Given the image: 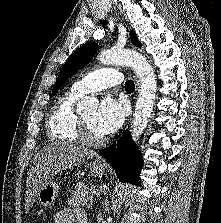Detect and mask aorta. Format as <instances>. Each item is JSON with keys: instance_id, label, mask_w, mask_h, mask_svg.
I'll return each instance as SVG.
<instances>
[{"instance_id": "obj_1", "label": "aorta", "mask_w": 221, "mask_h": 223, "mask_svg": "<svg viewBox=\"0 0 221 223\" xmlns=\"http://www.w3.org/2000/svg\"><path fill=\"white\" fill-rule=\"evenodd\" d=\"M100 63L104 65H128L137 74L141 90L136 103L132 122V138L138 140L144 132L155 103L157 81L150 63L136 51L110 49L103 51L98 56ZM99 101L95 97H86L78 103V110H96Z\"/></svg>"}]
</instances>
